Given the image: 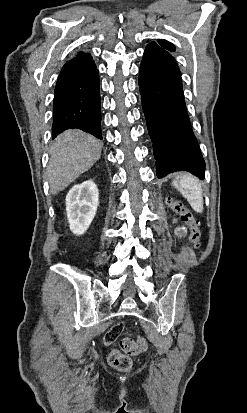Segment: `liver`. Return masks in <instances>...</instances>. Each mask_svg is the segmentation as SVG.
I'll return each instance as SVG.
<instances>
[{"label": "liver", "mask_w": 247, "mask_h": 413, "mask_svg": "<svg viewBox=\"0 0 247 413\" xmlns=\"http://www.w3.org/2000/svg\"><path fill=\"white\" fill-rule=\"evenodd\" d=\"M102 142L83 130H65L50 146L47 174L50 192L57 194L101 156Z\"/></svg>", "instance_id": "liver-1"}]
</instances>
